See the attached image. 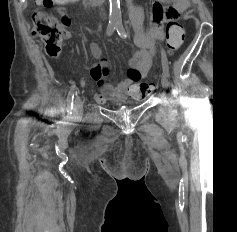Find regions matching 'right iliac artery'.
<instances>
[{"label": "right iliac artery", "instance_id": "obj_1", "mask_svg": "<svg viewBox=\"0 0 237 232\" xmlns=\"http://www.w3.org/2000/svg\"><path fill=\"white\" fill-rule=\"evenodd\" d=\"M115 29H116L115 24H109L106 31L107 35L108 36L112 35ZM76 90H77L76 85L73 84L67 96V116H66L67 119L71 118L73 112V101Z\"/></svg>", "mask_w": 237, "mask_h": 232}]
</instances>
